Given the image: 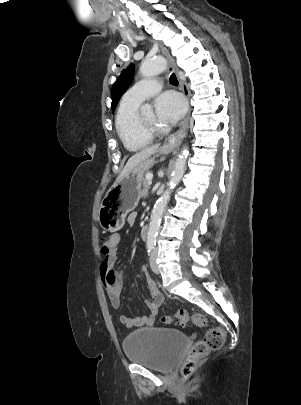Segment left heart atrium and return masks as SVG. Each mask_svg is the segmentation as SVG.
<instances>
[{"mask_svg":"<svg viewBox=\"0 0 301 405\" xmlns=\"http://www.w3.org/2000/svg\"><path fill=\"white\" fill-rule=\"evenodd\" d=\"M157 121L161 124H172L178 121L186 110L184 99L173 91L158 95L154 101Z\"/></svg>","mask_w":301,"mask_h":405,"instance_id":"1","label":"left heart atrium"}]
</instances>
